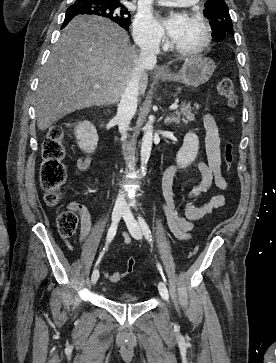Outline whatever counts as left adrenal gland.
<instances>
[{"instance_id":"left-adrenal-gland-1","label":"left adrenal gland","mask_w":276,"mask_h":363,"mask_svg":"<svg viewBox=\"0 0 276 363\" xmlns=\"http://www.w3.org/2000/svg\"><path fill=\"white\" fill-rule=\"evenodd\" d=\"M164 122L166 125H168L169 123H172V122L178 123V120L176 119L175 116H168L165 118Z\"/></svg>"}]
</instances>
